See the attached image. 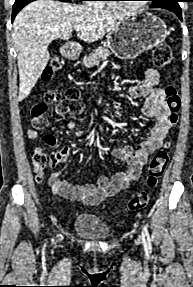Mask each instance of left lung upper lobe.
Listing matches in <instances>:
<instances>
[{
    "instance_id": "obj_1",
    "label": "left lung upper lobe",
    "mask_w": 193,
    "mask_h": 287,
    "mask_svg": "<svg viewBox=\"0 0 193 287\" xmlns=\"http://www.w3.org/2000/svg\"><path fill=\"white\" fill-rule=\"evenodd\" d=\"M150 1H152V4L150 5L151 8H159L161 6L178 4L180 0H150Z\"/></svg>"
}]
</instances>
